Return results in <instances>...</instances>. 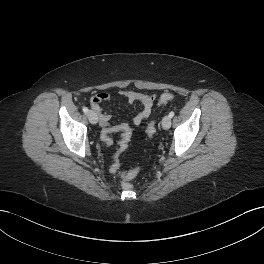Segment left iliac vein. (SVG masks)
<instances>
[{"instance_id": "left-iliac-vein-1", "label": "left iliac vein", "mask_w": 264, "mask_h": 264, "mask_svg": "<svg viewBox=\"0 0 264 264\" xmlns=\"http://www.w3.org/2000/svg\"><path fill=\"white\" fill-rule=\"evenodd\" d=\"M162 127L165 129V130H168L170 127H171V118L168 116H165L163 119H162Z\"/></svg>"}]
</instances>
